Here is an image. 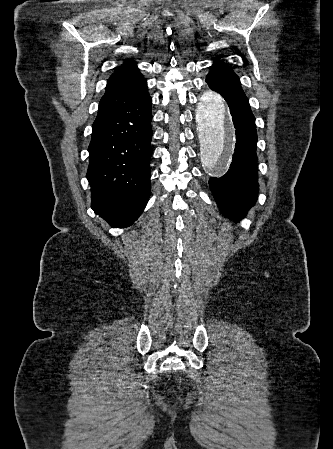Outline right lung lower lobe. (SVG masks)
Returning a JSON list of instances; mask_svg holds the SVG:
<instances>
[{"instance_id":"right-lung-lower-lobe-1","label":"right lung lower lobe","mask_w":333,"mask_h":449,"mask_svg":"<svg viewBox=\"0 0 333 449\" xmlns=\"http://www.w3.org/2000/svg\"><path fill=\"white\" fill-rule=\"evenodd\" d=\"M147 89L97 115L88 147L91 207L112 227L131 225L150 196L151 111Z\"/></svg>"}]
</instances>
